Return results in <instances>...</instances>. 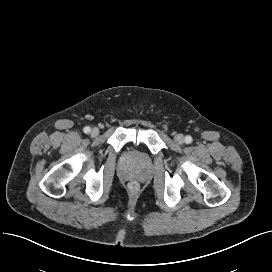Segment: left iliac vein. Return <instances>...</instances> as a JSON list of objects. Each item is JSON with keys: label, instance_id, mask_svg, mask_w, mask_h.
I'll return each instance as SVG.
<instances>
[{"label": "left iliac vein", "instance_id": "left-iliac-vein-1", "mask_svg": "<svg viewBox=\"0 0 272 272\" xmlns=\"http://www.w3.org/2000/svg\"><path fill=\"white\" fill-rule=\"evenodd\" d=\"M174 141L175 143H177L178 145H182L185 141V138L182 134H177L175 137H174Z\"/></svg>", "mask_w": 272, "mask_h": 272}]
</instances>
